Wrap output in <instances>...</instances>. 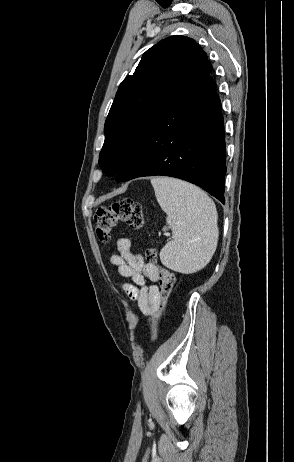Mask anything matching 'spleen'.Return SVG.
I'll list each match as a JSON object with an SVG mask.
<instances>
[{"label":"spleen","mask_w":294,"mask_h":462,"mask_svg":"<svg viewBox=\"0 0 294 462\" xmlns=\"http://www.w3.org/2000/svg\"><path fill=\"white\" fill-rule=\"evenodd\" d=\"M151 184L173 232V239L160 251L161 262L184 274L199 271L217 247L218 216L213 200L197 186L180 179L155 177Z\"/></svg>","instance_id":"spleen-1"}]
</instances>
